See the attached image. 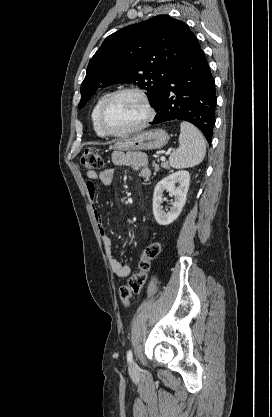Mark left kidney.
Here are the masks:
<instances>
[{"label":"left kidney","instance_id":"1","mask_svg":"<svg viewBox=\"0 0 272 417\" xmlns=\"http://www.w3.org/2000/svg\"><path fill=\"white\" fill-rule=\"evenodd\" d=\"M189 183L190 174L186 170L172 173L157 183L153 194V214L159 225H169L178 218L186 202ZM165 190L174 197V202L168 212L162 211L161 207Z\"/></svg>","mask_w":272,"mask_h":417}]
</instances>
